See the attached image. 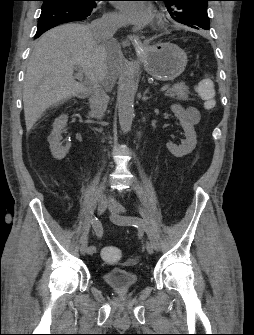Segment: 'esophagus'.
Here are the masks:
<instances>
[{"label":"esophagus","mask_w":254,"mask_h":335,"mask_svg":"<svg viewBox=\"0 0 254 335\" xmlns=\"http://www.w3.org/2000/svg\"><path fill=\"white\" fill-rule=\"evenodd\" d=\"M132 43L136 48L143 51L145 50L146 46L142 43V41L139 39L136 35H128L127 38L122 42L124 47H127Z\"/></svg>","instance_id":"esophagus-1"}]
</instances>
